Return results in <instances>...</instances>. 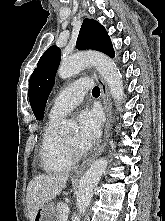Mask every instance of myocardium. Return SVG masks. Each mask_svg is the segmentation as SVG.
I'll return each mask as SVG.
<instances>
[{
  "instance_id": "f54148a6",
  "label": "myocardium",
  "mask_w": 165,
  "mask_h": 221,
  "mask_svg": "<svg viewBox=\"0 0 165 221\" xmlns=\"http://www.w3.org/2000/svg\"><path fill=\"white\" fill-rule=\"evenodd\" d=\"M63 142H64V145H65L68 153L70 154V156L74 160H79L85 156L84 150H81L77 146H75L74 144L70 143L65 137H63Z\"/></svg>"
}]
</instances>
